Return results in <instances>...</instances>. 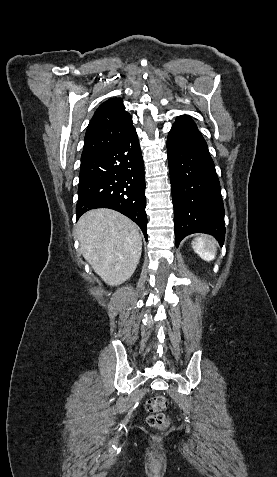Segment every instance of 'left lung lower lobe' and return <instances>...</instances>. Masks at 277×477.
I'll return each mask as SVG.
<instances>
[{"instance_id": "0a47b994", "label": "left lung lower lobe", "mask_w": 277, "mask_h": 477, "mask_svg": "<svg viewBox=\"0 0 277 477\" xmlns=\"http://www.w3.org/2000/svg\"><path fill=\"white\" fill-rule=\"evenodd\" d=\"M175 242L192 233L225 237L220 183L208 146L189 117H178L167 139Z\"/></svg>"}]
</instances>
